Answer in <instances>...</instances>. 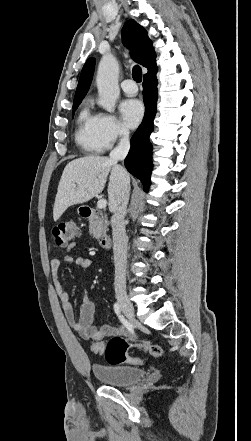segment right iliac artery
<instances>
[{
	"instance_id": "1",
	"label": "right iliac artery",
	"mask_w": 251,
	"mask_h": 441,
	"mask_svg": "<svg viewBox=\"0 0 251 441\" xmlns=\"http://www.w3.org/2000/svg\"><path fill=\"white\" fill-rule=\"evenodd\" d=\"M114 311L117 314L119 320L121 321V323L129 330V332H131L132 334H134L133 331V327L132 325L127 321V319L122 315L121 313V308L119 306L118 303L114 304Z\"/></svg>"
}]
</instances>
